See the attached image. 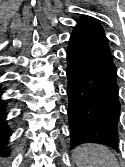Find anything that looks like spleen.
<instances>
[{
	"mask_svg": "<svg viewBox=\"0 0 125 167\" xmlns=\"http://www.w3.org/2000/svg\"><path fill=\"white\" fill-rule=\"evenodd\" d=\"M77 167H120L112 151L99 144H84L73 151Z\"/></svg>",
	"mask_w": 125,
	"mask_h": 167,
	"instance_id": "1",
	"label": "spleen"
}]
</instances>
